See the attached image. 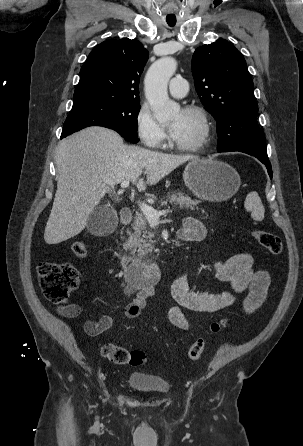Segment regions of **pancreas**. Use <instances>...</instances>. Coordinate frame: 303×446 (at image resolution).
<instances>
[{"mask_svg": "<svg viewBox=\"0 0 303 446\" xmlns=\"http://www.w3.org/2000/svg\"><path fill=\"white\" fill-rule=\"evenodd\" d=\"M28 7L32 8L33 4H28ZM168 202L191 210L199 203V201L192 200L188 195L181 192L169 195L166 200L161 202V205H167ZM147 223L148 221L143 213L136 214L132 230L127 231L128 238L124 243V249L131 251L133 256L140 259L148 257L154 250V241L152 240L154 234L147 231Z\"/></svg>", "mask_w": 303, "mask_h": 446, "instance_id": "obj_1", "label": "pancreas"}]
</instances>
